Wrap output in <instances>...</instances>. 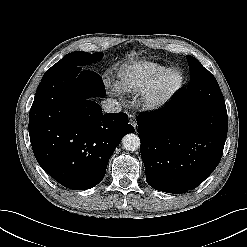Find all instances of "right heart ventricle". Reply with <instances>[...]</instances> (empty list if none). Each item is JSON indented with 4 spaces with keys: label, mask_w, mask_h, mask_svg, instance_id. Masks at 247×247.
Returning <instances> with one entry per match:
<instances>
[{
    "label": "right heart ventricle",
    "mask_w": 247,
    "mask_h": 247,
    "mask_svg": "<svg viewBox=\"0 0 247 247\" xmlns=\"http://www.w3.org/2000/svg\"><path fill=\"white\" fill-rule=\"evenodd\" d=\"M167 68L154 61H138L126 65L118 74V86L125 92L144 91Z\"/></svg>",
    "instance_id": "1"
}]
</instances>
